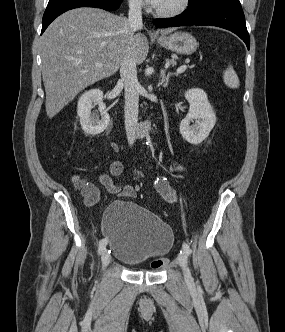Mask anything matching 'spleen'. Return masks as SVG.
<instances>
[{
    "label": "spleen",
    "instance_id": "3e777b00",
    "mask_svg": "<svg viewBox=\"0 0 285 332\" xmlns=\"http://www.w3.org/2000/svg\"><path fill=\"white\" fill-rule=\"evenodd\" d=\"M223 81L226 86L234 89L239 87V79L231 65L223 73Z\"/></svg>",
    "mask_w": 285,
    "mask_h": 332
}]
</instances>
